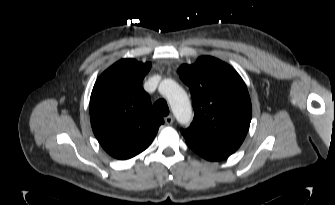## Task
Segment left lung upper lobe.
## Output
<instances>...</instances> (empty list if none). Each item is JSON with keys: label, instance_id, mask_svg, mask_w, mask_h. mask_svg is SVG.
I'll return each instance as SVG.
<instances>
[{"label": "left lung upper lobe", "instance_id": "left-lung-upper-lobe-1", "mask_svg": "<svg viewBox=\"0 0 335 205\" xmlns=\"http://www.w3.org/2000/svg\"><path fill=\"white\" fill-rule=\"evenodd\" d=\"M189 86L194 108L185 140L213 151L234 153L249 130L252 106L246 85L228 64L211 56L178 69Z\"/></svg>", "mask_w": 335, "mask_h": 205}]
</instances>
